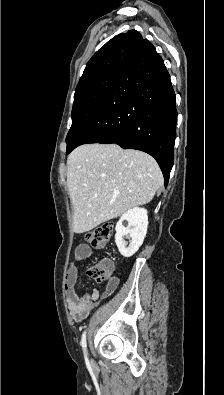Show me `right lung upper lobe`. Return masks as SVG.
<instances>
[{
  "mask_svg": "<svg viewBox=\"0 0 224 395\" xmlns=\"http://www.w3.org/2000/svg\"><path fill=\"white\" fill-rule=\"evenodd\" d=\"M145 39L136 30L114 36L89 60L77 88L96 78L121 71L133 59Z\"/></svg>",
  "mask_w": 224,
  "mask_h": 395,
  "instance_id": "right-lung-upper-lobe-1",
  "label": "right lung upper lobe"
}]
</instances>
